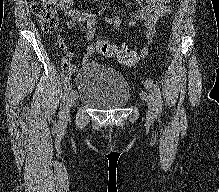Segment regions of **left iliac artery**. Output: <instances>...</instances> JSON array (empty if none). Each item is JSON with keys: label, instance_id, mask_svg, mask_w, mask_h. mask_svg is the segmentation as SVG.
<instances>
[{"label": "left iliac artery", "instance_id": "1", "mask_svg": "<svg viewBox=\"0 0 219 192\" xmlns=\"http://www.w3.org/2000/svg\"><path fill=\"white\" fill-rule=\"evenodd\" d=\"M151 85L153 86V94H154V97H155L157 112L161 113L162 112L163 101H162V97H161L160 88L157 85V83H155L153 81L152 82L146 81L145 86L147 88L150 87Z\"/></svg>", "mask_w": 219, "mask_h": 192}]
</instances>
